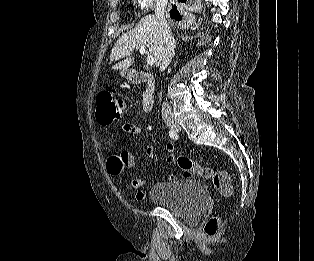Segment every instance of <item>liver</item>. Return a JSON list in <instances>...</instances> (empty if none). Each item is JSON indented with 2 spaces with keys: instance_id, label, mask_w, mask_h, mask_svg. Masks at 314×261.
I'll return each mask as SVG.
<instances>
[{
  "instance_id": "1",
  "label": "liver",
  "mask_w": 314,
  "mask_h": 261,
  "mask_svg": "<svg viewBox=\"0 0 314 261\" xmlns=\"http://www.w3.org/2000/svg\"><path fill=\"white\" fill-rule=\"evenodd\" d=\"M141 45L147 46L154 56L156 66H160L164 48V36L160 23L155 15L143 17L134 29L123 34L114 45L110 54V61H123L113 66L114 70H125L133 64L132 53Z\"/></svg>"
}]
</instances>
